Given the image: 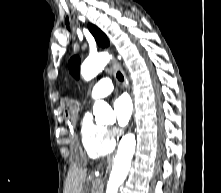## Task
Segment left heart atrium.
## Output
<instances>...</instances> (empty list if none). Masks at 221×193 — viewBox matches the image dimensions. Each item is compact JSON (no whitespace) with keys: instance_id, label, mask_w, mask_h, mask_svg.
I'll list each match as a JSON object with an SVG mask.
<instances>
[{"instance_id":"obj_1","label":"left heart atrium","mask_w":221,"mask_h":193,"mask_svg":"<svg viewBox=\"0 0 221 193\" xmlns=\"http://www.w3.org/2000/svg\"><path fill=\"white\" fill-rule=\"evenodd\" d=\"M113 109L117 123L120 126L127 125L133 112V106L130 98L125 94L118 96L113 102Z\"/></svg>"}]
</instances>
